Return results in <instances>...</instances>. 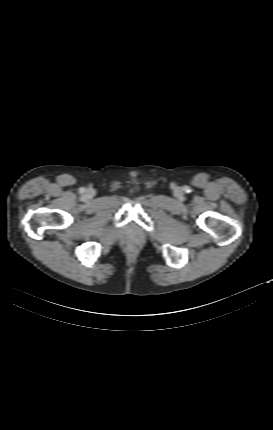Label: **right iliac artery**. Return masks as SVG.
<instances>
[{
    "mask_svg": "<svg viewBox=\"0 0 273 430\" xmlns=\"http://www.w3.org/2000/svg\"><path fill=\"white\" fill-rule=\"evenodd\" d=\"M84 190H85L84 188H81V189H80V192L82 193V192H84Z\"/></svg>",
    "mask_w": 273,
    "mask_h": 430,
    "instance_id": "obj_1",
    "label": "right iliac artery"
}]
</instances>
